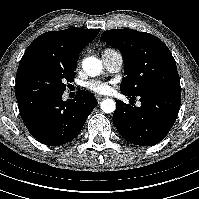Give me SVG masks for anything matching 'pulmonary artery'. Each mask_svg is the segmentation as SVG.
Instances as JSON below:
<instances>
[{"mask_svg": "<svg viewBox=\"0 0 199 199\" xmlns=\"http://www.w3.org/2000/svg\"><path fill=\"white\" fill-rule=\"evenodd\" d=\"M103 63L109 72L115 73L121 70L123 66V56L120 52L107 49L102 53Z\"/></svg>", "mask_w": 199, "mask_h": 199, "instance_id": "e3ab8cb5", "label": "pulmonary artery"}]
</instances>
